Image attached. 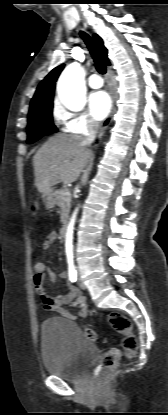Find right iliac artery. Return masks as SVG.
<instances>
[{"label":"right iliac artery","instance_id":"obj_1","mask_svg":"<svg viewBox=\"0 0 168 415\" xmlns=\"http://www.w3.org/2000/svg\"><path fill=\"white\" fill-rule=\"evenodd\" d=\"M69 280L75 282L77 280V272L74 267H69L68 269Z\"/></svg>","mask_w":168,"mask_h":415}]
</instances>
